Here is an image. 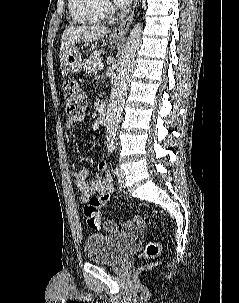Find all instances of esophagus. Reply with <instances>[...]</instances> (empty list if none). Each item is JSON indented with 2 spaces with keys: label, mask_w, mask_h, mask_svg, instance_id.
I'll return each mask as SVG.
<instances>
[{
  "label": "esophagus",
  "mask_w": 239,
  "mask_h": 303,
  "mask_svg": "<svg viewBox=\"0 0 239 303\" xmlns=\"http://www.w3.org/2000/svg\"><path fill=\"white\" fill-rule=\"evenodd\" d=\"M138 0L135 1L134 6H133V10L131 11V13L126 17V19L121 22V24L115 28L112 33H111V37L112 38H116V39H122L125 37L127 31L129 30L131 23L133 21L134 18V9L138 4Z\"/></svg>",
  "instance_id": "esophagus-1"
}]
</instances>
